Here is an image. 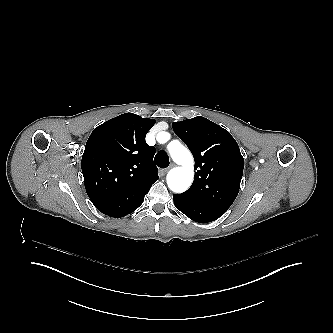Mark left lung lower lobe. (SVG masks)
Instances as JSON below:
<instances>
[{
  "label": "left lung lower lobe",
  "instance_id": "left-lung-lower-lobe-1",
  "mask_svg": "<svg viewBox=\"0 0 333 333\" xmlns=\"http://www.w3.org/2000/svg\"><path fill=\"white\" fill-rule=\"evenodd\" d=\"M173 198L175 207L179 211H181L190 219L200 223L214 221L221 217L227 211L222 208H214L200 205L198 203L189 201L181 197L179 194H174Z\"/></svg>",
  "mask_w": 333,
  "mask_h": 333
}]
</instances>
